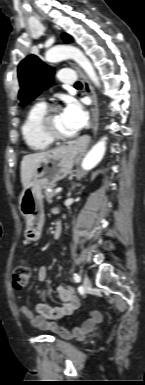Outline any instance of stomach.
Wrapping results in <instances>:
<instances>
[{
	"label": "stomach",
	"instance_id": "0dacf381",
	"mask_svg": "<svg viewBox=\"0 0 145 385\" xmlns=\"http://www.w3.org/2000/svg\"><path fill=\"white\" fill-rule=\"evenodd\" d=\"M75 155L69 146H61L48 154L37 166L26 189L19 195V210L26 219L25 237L37 241L44 224L43 187L53 186L72 170Z\"/></svg>",
	"mask_w": 145,
	"mask_h": 385
}]
</instances>
